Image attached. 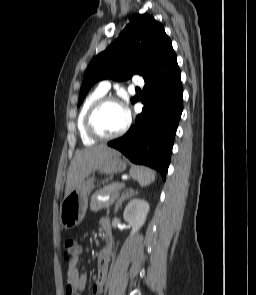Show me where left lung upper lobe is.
<instances>
[{
	"mask_svg": "<svg viewBox=\"0 0 256 295\" xmlns=\"http://www.w3.org/2000/svg\"><path fill=\"white\" fill-rule=\"evenodd\" d=\"M175 62L177 57L162 24L148 14H136L113 44L88 66L78 106L98 80L112 78L121 81L134 74L146 80L159 75ZM137 100V97L131 99L132 103Z\"/></svg>",
	"mask_w": 256,
	"mask_h": 295,
	"instance_id": "obj_1",
	"label": "left lung upper lobe"
}]
</instances>
